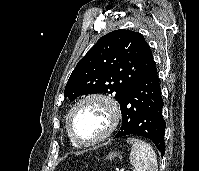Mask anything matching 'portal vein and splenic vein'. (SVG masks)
<instances>
[{"mask_svg":"<svg viewBox=\"0 0 199 171\" xmlns=\"http://www.w3.org/2000/svg\"><path fill=\"white\" fill-rule=\"evenodd\" d=\"M128 169H129V168H126V171H128ZM124 170H125V169H123V170H121V171H124Z\"/></svg>","mask_w":199,"mask_h":171,"instance_id":"obj_1","label":"portal vein and splenic vein"}]
</instances>
